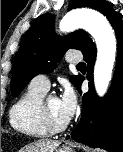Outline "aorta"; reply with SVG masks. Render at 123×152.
Here are the masks:
<instances>
[{
	"label": "aorta",
	"instance_id": "1",
	"mask_svg": "<svg viewBox=\"0 0 123 152\" xmlns=\"http://www.w3.org/2000/svg\"><path fill=\"white\" fill-rule=\"evenodd\" d=\"M85 29L92 35L97 46V59L94 67V85L99 96H103L112 78L116 56L114 31L102 14L92 10H76L67 13L60 21L62 32Z\"/></svg>",
	"mask_w": 123,
	"mask_h": 152
}]
</instances>
